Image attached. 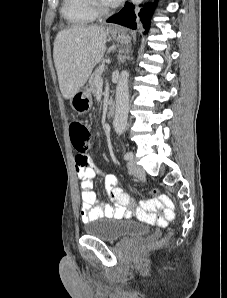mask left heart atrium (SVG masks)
Instances as JSON below:
<instances>
[{
  "label": "left heart atrium",
  "mask_w": 227,
  "mask_h": 298,
  "mask_svg": "<svg viewBox=\"0 0 227 298\" xmlns=\"http://www.w3.org/2000/svg\"><path fill=\"white\" fill-rule=\"evenodd\" d=\"M104 3L108 6H116L118 5L122 0H103Z\"/></svg>",
  "instance_id": "left-heart-atrium-1"
}]
</instances>
